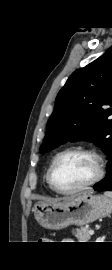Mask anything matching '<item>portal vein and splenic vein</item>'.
<instances>
[{"mask_svg":"<svg viewBox=\"0 0 112 270\" xmlns=\"http://www.w3.org/2000/svg\"><path fill=\"white\" fill-rule=\"evenodd\" d=\"M89 234H90V235H93V234H94V230L90 229V230H89Z\"/></svg>","mask_w":112,"mask_h":270,"instance_id":"18ae733b","label":"portal vein and splenic vein"}]
</instances>
